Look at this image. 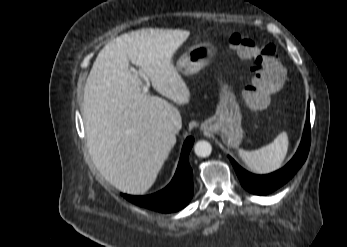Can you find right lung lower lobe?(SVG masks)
Returning a JSON list of instances; mask_svg holds the SVG:
<instances>
[{"label": "right lung lower lobe", "instance_id": "98d812e1", "mask_svg": "<svg viewBox=\"0 0 347 247\" xmlns=\"http://www.w3.org/2000/svg\"><path fill=\"white\" fill-rule=\"evenodd\" d=\"M193 142L192 137L184 142L176 173L166 188L148 196L123 194V197L136 205L163 213L184 208L193 196V172L188 161Z\"/></svg>", "mask_w": 347, "mask_h": 247}]
</instances>
